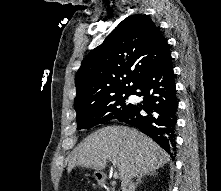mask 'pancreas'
Returning <instances> with one entry per match:
<instances>
[{
	"instance_id": "pancreas-1",
	"label": "pancreas",
	"mask_w": 221,
	"mask_h": 191,
	"mask_svg": "<svg viewBox=\"0 0 221 191\" xmlns=\"http://www.w3.org/2000/svg\"><path fill=\"white\" fill-rule=\"evenodd\" d=\"M108 191H114V188H112V189H110V190H108Z\"/></svg>"
}]
</instances>
